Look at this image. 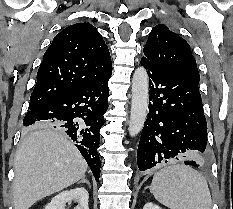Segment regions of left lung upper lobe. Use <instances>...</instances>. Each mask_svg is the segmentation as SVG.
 <instances>
[{"label": "left lung upper lobe", "instance_id": "5c2ea615", "mask_svg": "<svg viewBox=\"0 0 233 209\" xmlns=\"http://www.w3.org/2000/svg\"><path fill=\"white\" fill-rule=\"evenodd\" d=\"M143 52L148 60L199 82L197 64L189 44L164 24L152 29Z\"/></svg>", "mask_w": 233, "mask_h": 209}]
</instances>
